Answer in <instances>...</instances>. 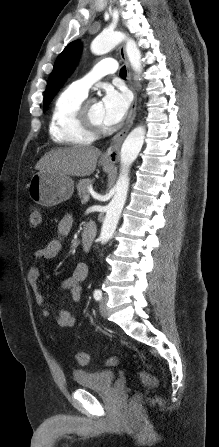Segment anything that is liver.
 I'll return each mask as SVG.
<instances>
[{
    "label": "liver",
    "instance_id": "1",
    "mask_svg": "<svg viewBox=\"0 0 219 447\" xmlns=\"http://www.w3.org/2000/svg\"><path fill=\"white\" fill-rule=\"evenodd\" d=\"M101 151L95 147L75 145L52 149L36 164V170H47L67 176L85 177L91 175Z\"/></svg>",
    "mask_w": 219,
    "mask_h": 447
}]
</instances>
